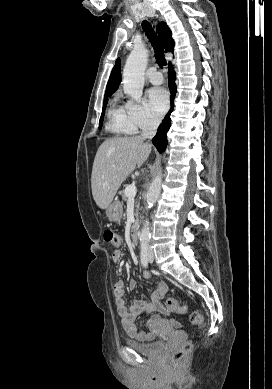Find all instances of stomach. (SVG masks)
Returning <instances> with one entry per match:
<instances>
[{
  "instance_id": "0dacf381",
  "label": "stomach",
  "mask_w": 272,
  "mask_h": 389,
  "mask_svg": "<svg viewBox=\"0 0 272 389\" xmlns=\"http://www.w3.org/2000/svg\"><path fill=\"white\" fill-rule=\"evenodd\" d=\"M106 215L111 221H119L123 215L122 203L118 200L111 202V204L106 209Z\"/></svg>"
}]
</instances>
